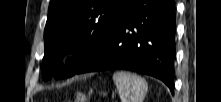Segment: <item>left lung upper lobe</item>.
Listing matches in <instances>:
<instances>
[{
  "label": "left lung upper lobe",
  "instance_id": "5c2ea615",
  "mask_svg": "<svg viewBox=\"0 0 221 102\" xmlns=\"http://www.w3.org/2000/svg\"><path fill=\"white\" fill-rule=\"evenodd\" d=\"M128 0H50L44 31L45 54L42 77L49 80L61 59L76 51L58 72V78L73 76L99 49L113 30Z\"/></svg>",
  "mask_w": 221,
  "mask_h": 102
}]
</instances>
